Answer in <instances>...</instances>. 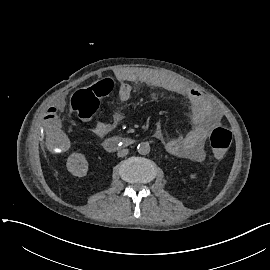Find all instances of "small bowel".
Masks as SVG:
<instances>
[{
    "label": "small bowel",
    "instance_id": "obj_1",
    "mask_svg": "<svg viewBox=\"0 0 270 270\" xmlns=\"http://www.w3.org/2000/svg\"><path fill=\"white\" fill-rule=\"evenodd\" d=\"M120 81L118 98L122 102L130 99L132 88L129 82H139L155 88L164 89L186 99L193 107V127L184 136L174 137L165 141L163 130L157 127L155 137L165 141L166 149L174 155L188 157L195 162H202L205 159L204 141L210 130L221 120L220 113L216 110L210 100L205 98L198 90L189 88L164 73L149 68H131L120 71L117 74ZM60 113V100L51 96L47 100L45 112V128L47 131L46 144L50 151L58 153L71 149L75 145V139L64 132L65 126L62 121L57 120ZM121 120V115L116 113L113 116V123ZM110 126L104 122H97L91 129L98 137L105 136Z\"/></svg>",
    "mask_w": 270,
    "mask_h": 270
}]
</instances>
